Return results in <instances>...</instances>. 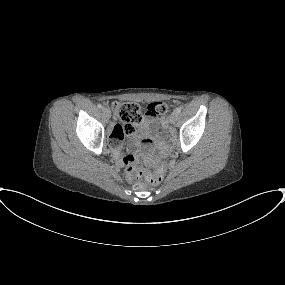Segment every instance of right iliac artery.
I'll return each mask as SVG.
<instances>
[{"label": "right iliac artery", "instance_id": "1", "mask_svg": "<svg viewBox=\"0 0 285 285\" xmlns=\"http://www.w3.org/2000/svg\"><path fill=\"white\" fill-rule=\"evenodd\" d=\"M97 106H98V108H100V109L103 108L102 104H98Z\"/></svg>", "mask_w": 285, "mask_h": 285}]
</instances>
